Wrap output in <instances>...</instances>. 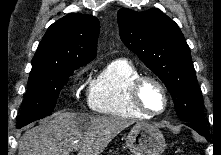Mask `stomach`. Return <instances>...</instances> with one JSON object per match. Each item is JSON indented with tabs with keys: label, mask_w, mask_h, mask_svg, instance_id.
Listing matches in <instances>:
<instances>
[{
	"label": "stomach",
	"mask_w": 221,
	"mask_h": 155,
	"mask_svg": "<svg viewBox=\"0 0 221 155\" xmlns=\"http://www.w3.org/2000/svg\"><path fill=\"white\" fill-rule=\"evenodd\" d=\"M126 146L132 155H162L166 143L156 126L138 123L128 133Z\"/></svg>",
	"instance_id": "0dacf381"
}]
</instances>
